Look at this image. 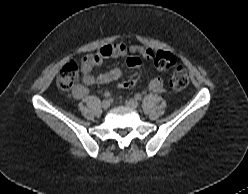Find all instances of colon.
<instances>
[{"mask_svg": "<svg viewBox=\"0 0 248 194\" xmlns=\"http://www.w3.org/2000/svg\"><path fill=\"white\" fill-rule=\"evenodd\" d=\"M154 61L157 69L164 70L174 66L176 59L168 52L157 51L154 55ZM79 69L78 65L74 61H70L62 68L59 78L58 87L61 90H69L74 87L78 81ZM136 82L135 79L126 80L118 84V88H129ZM189 84V75L185 68L177 67L171 77L170 86L175 90H182Z\"/></svg>", "mask_w": 248, "mask_h": 194, "instance_id": "obj_1", "label": "colon"}]
</instances>
